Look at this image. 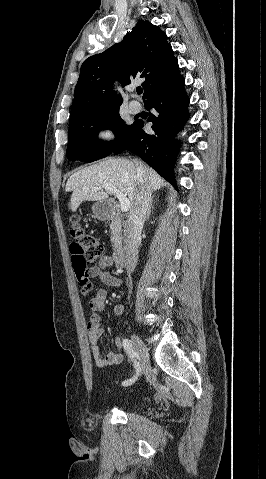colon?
Listing matches in <instances>:
<instances>
[{"instance_id": "1", "label": "colon", "mask_w": 266, "mask_h": 479, "mask_svg": "<svg viewBox=\"0 0 266 479\" xmlns=\"http://www.w3.org/2000/svg\"><path fill=\"white\" fill-rule=\"evenodd\" d=\"M70 234L73 238L70 245L72 266L82 293L87 294L93 288L88 272L103 256L104 248L100 240L89 233L76 216L71 218Z\"/></svg>"}]
</instances>
